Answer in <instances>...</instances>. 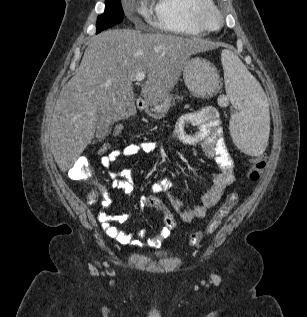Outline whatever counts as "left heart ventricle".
Wrapping results in <instances>:
<instances>
[{
	"mask_svg": "<svg viewBox=\"0 0 307 317\" xmlns=\"http://www.w3.org/2000/svg\"><path fill=\"white\" fill-rule=\"evenodd\" d=\"M208 20H209L210 24H212V25H214L216 23V18L212 14H209Z\"/></svg>",
	"mask_w": 307,
	"mask_h": 317,
	"instance_id": "b2bd125f",
	"label": "left heart ventricle"
}]
</instances>
